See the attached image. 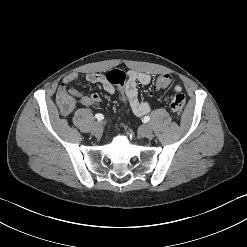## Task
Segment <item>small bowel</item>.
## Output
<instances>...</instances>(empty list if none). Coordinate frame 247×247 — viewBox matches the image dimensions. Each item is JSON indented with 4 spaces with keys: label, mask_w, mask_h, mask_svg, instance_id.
I'll list each match as a JSON object with an SVG mask.
<instances>
[{
    "label": "small bowel",
    "mask_w": 247,
    "mask_h": 247,
    "mask_svg": "<svg viewBox=\"0 0 247 247\" xmlns=\"http://www.w3.org/2000/svg\"><path fill=\"white\" fill-rule=\"evenodd\" d=\"M77 78L78 75L76 73L67 75L59 88L58 98L63 94H67L72 99L70 108L62 111L64 114H69L74 109L76 103H80L83 106H98L101 103V98L97 93L84 94L70 86ZM86 80L93 84H101L103 89L109 94H114L116 91L115 85L111 84L106 76L101 73H88L86 75ZM150 82L151 76L148 73L130 71L128 74L126 89L128 101L130 102L129 108L137 116H143L150 111L148 102L138 100L137 86L138 84L148 85ZM174 91L180 93L181 86L175 85Z\"/></svg>",
    "instance_id": "small-bowel-1"
}]
</instances>
